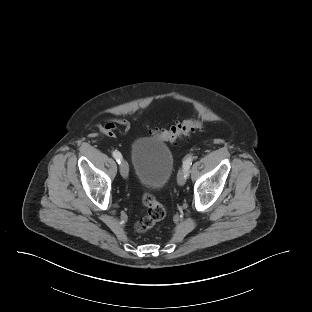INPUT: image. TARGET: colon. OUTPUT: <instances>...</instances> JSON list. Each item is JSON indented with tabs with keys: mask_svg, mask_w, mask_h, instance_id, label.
Returning <instances> with one entry per match:
<instances>
[{
	"mask_svg": "<svg viewBox=\"0 0 312 312\" xmlns=\"http://www.w3.org/2000/svg\"><path fill=\"white\" fill-rule=\"evenodd\" d=\"M203 129L204 125L201 121L190 119L173 124L168 129H153L151 134L162 141H176L183 136ZM142 202L146 208V213L135 223V229L139 233L147 232L166 215L165 208L151 192L143 194Z\"/></svg>",
	"mask_w": 312,
	"mask_h": 312,
	"instance_id": "colon-1",
	"label": "colon"
}]
</instances>
